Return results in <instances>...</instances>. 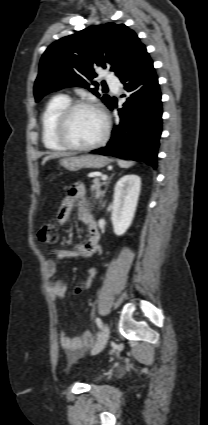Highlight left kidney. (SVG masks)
<instances>
[{
	"instance_id": "1",
	"label": "left kidney",
	"mask_w": 208,
	"mask_h": 425,
	"mask_svg": "<svg viewBox=\"0 0 208 425\" xmlns=\"http://www.w3.org/2000/svg\"><path fill=\"white\" fill-rule=\"evenodd\" d=\"M140 190L141 179L135 174L124 175L117 181L111 215L116 235H123L132 224Z\"/></svg>"
}]
</instances>
